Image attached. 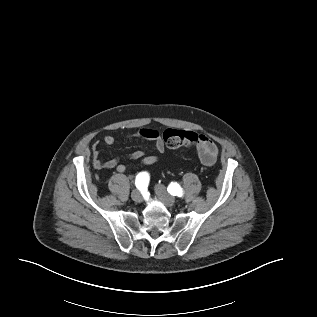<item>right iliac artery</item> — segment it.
I'll return each mask as SVG.
<instances>
[{
	"label": "right iliac artery",
	"mask_w": 317,
	"mask_h": 317,
	"mask_svg": "<svg viewBox=\"0 0 317 317\" xmlns=\"http://www.w3.org/2000/svg\"><path fill=\"white\" fill-rule=\"evenodd\" d=\"M150 177L147 172H141L136 176L135 185L139 190H143L148 186Z\"/></svg>",
	"instance_id": "obj_1"
}]
</instances>
